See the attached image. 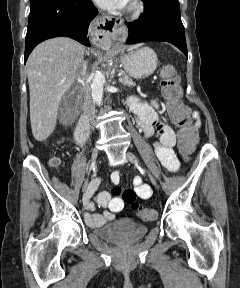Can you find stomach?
Returning <instances> with one entry per match:
<instances>
[{
  "label": "stomach",
  "instance_id": "0dacf381",
  "mask_svg": "<svg viewBox=\"0 0 240 288\" xmlns=\"http://www.w3.org/2000/svg\"><path fill=\"white\" fill-rule=\"evenodd\" d=\"M125 72L135 78L141 79L151 75L158 64L157 55L149 47L140 48L121 57Z\"/></svg>",
  "mask_w": 240,
  "mask_h": 288
}]
</instances>
